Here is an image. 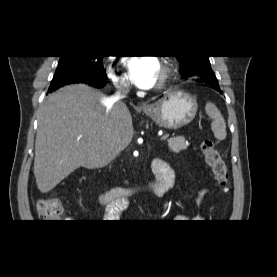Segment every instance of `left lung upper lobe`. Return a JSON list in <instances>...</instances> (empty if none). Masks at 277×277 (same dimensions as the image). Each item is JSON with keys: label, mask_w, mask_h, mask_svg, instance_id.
Instances as JSON below:
<instances>
[{"label": "left lung upper lobe", "mask_w": 277, "mask_h": 277, "mask_svg": "<svg viewBox=\"0 0 277 277\" xmlns=\"http://www.w3.org/2000/svg\"><path fill=\"white\" fill-rule=\"evenodd\" d=\"M182 66L181 74L186 78H216L211 69L209 56H176Z\"/></svg>", "instance_id": "obj_1"}]
</instances>
